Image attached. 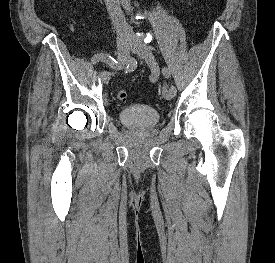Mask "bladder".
Masks as SVG:
<instances>
[{"instance_id": "1", "label": "bladder", "mask_w": 275, "mask_h": 263, "mask_svg": "<svg viewBox=\"0 0 275 263\" xmlns=\"http://www.w3.org/2000/svg\"><path fill=\"white\" fill-rule=\"evenodd\" d=\"M118 119L124 126L134 129H147L159 122L160 113L146 105H131L118 112Z\"/></svg>"}]
</instances>
